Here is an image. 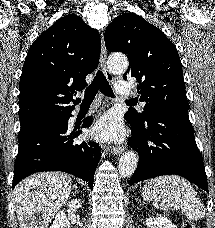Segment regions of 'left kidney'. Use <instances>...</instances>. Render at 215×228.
<instances>
[{
  "label": "left kidney",
  "mask_w": 215,
  "mask_h": 228,
  "mask_svg": "<svg viewBox=\"0 0 215 228\" xmlns=\"http://www.w3.org/2000/svg\"><path fill=\"white\" fill-rule=\"evenodd\" d=\"M145 226H147V228H177V226H174L171 220H168L165 216H160V218H147Z\"/></svg>",
  "instance_id": "obj_1"
}]
</instances>
